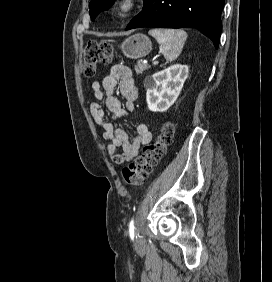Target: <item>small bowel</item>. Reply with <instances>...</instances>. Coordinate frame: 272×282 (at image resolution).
<instances>
[{
  "instance_id": "1",
  "label": "small bowel",
  "mask_w": 272,
  "mask_h": 282,
  "mask_svg": "<svg viewBox=\"0 0 272 282\" xmlns=\"http://www.w3.org/2000/svg\"><path fill=\"white\" fill-rule=\"evenodd\" d=\"M118 87L125 98L123 108L120 100L114 95ZM94 97L98 102H92L90 113L95 122L104 129V138L110 143L107 146L109 159L116 164H123L135 158L140 147L152 141V133L145 124H137L135 136L129 139L127 133L120 128H115L111 121L105 117L104 106L112 114L113 119L130 115L135 110V101L139 95V87L136 84L131 70L124 65H114L101 82L92 84ZM121 149V151H118Z\"/></svg>"
}]
</instances>
